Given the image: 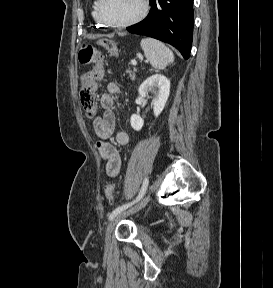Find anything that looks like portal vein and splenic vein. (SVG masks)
I'll return each instance as SVG.
<instances>
[{
    "instance_id": "obj_1",
    "label": "portal vein and splenic vein",
    "mask_w": 273,
    "mask_h": 288,
    "mask_svg": "<svg viewBox=\"0 0 273 288\" xmlns=\"http://www.w3.org/2000/svg\"><path fill=\"white\" fill-rule=\"evenodd\" d=\"M131 63L132 65H137V62L135 60H133Z\"/></svg>"
}]
</instances>
